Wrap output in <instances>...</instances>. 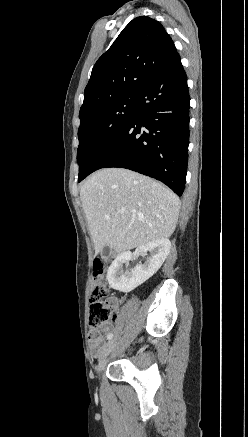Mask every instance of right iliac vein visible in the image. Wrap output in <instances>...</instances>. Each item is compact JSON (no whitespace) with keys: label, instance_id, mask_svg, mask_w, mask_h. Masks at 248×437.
Wrapping results in <instances>:
<instances>
[{"label":"right iliac vein","instance_id":"63e3f726","mask_svg":"<svg viewBox=\"0 0 248 437\" xmlns=\"http://www.w3.org/2000/svg\"><path fill=\"white\" fill-rule=\"evenodd\" d=\"M116 342L114 340H110L106 345H104L100 356H99V362H98V366H97V372L100 373L102 368H103V364L105 361V358L110 354V352L115 348Z\"/></svg>","mask_w":248,"mask_h":437}]
</instances>
